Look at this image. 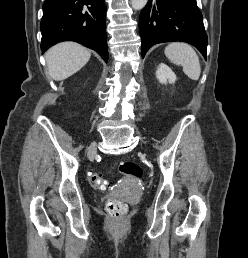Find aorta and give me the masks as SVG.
Returning <instances> with one entry per match:
<instances>
[{
  "label": "aorta",
  "instance_id": "aorta-1",
  "mask_svg": "<svg viewBox=\"0 0 248 258\" xmlns=\"http://www.w3.org/2000/svg\"><path fill=\"white\" fill-rule=\"evenodd\" d=\"M148 0H131V6L134 10H140L147 4Z\"/></svg>",
  "mask_w": 248,
  "mask_h": 258
}]
</instances>
